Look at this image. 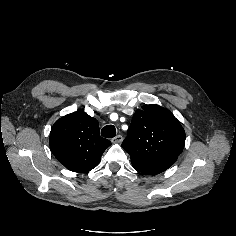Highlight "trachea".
<instances>
[{"label": "trachea", "mask_w": 236, "mask_h": 236, "mask_svg": "<svg viewBox=\"0 0 236 236\" xmlns=\"http://www.w3.org/2000/svg\"><path fill=\"white\" fill-rule=\"evenodd\" d=\"M101 135L105 138H113L116 136V128L114 125H107L101 130Z\"/></svg>", "instance_id": "3493384b"}]
</instances>
